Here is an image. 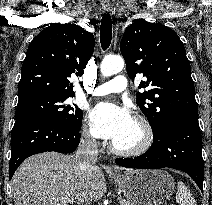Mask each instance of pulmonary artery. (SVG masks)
<instances>
[{"mask_svg":"<svg viewBox=\"0 0 212 205\" xmlns=\"http://www.w3.org/2000/svg\"><path fill=\"white\" fill-rule=\"evenodd\" d=\"M127 88V79L123 75H118L112 80L97 86L93 94L96 96H104L110 93H119Z\"/></svg>","mask_w":212,"mask_h":205,"instance_id":"e3ab8cb5","label":"pulmonary artery"}]
</instances>
